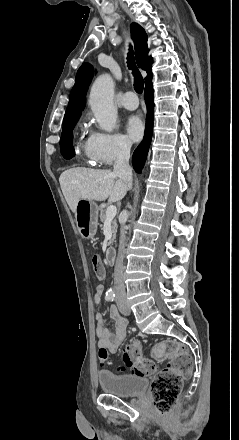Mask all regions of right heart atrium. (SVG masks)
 I'll list each match as a JSON object with an SVG mask.
<instances>
[{
    "instance_id": "obj_1",
    "label": "right heart atrium",
    "mask_w": 239,
    "mask_h": 440,
    "mask_svg": "<svg viewBox=\"0 0 239 440\" xmlns=\"http://www.w3.org/2000/svg\"><path fill=\"white\" fill-rule=\"evenodd\" d=\"M84 150L93 161L109 166L126 152L127 144L121 137L91 129Z\"/></svg>"
}]
</instances>
